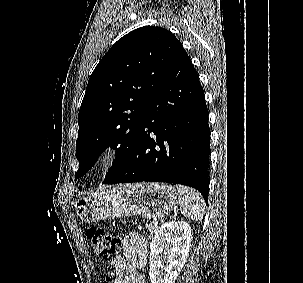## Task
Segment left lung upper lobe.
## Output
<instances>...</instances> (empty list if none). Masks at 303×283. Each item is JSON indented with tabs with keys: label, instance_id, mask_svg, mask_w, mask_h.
Masks as SVG:
<instances>
[{
	"label": "left lung upper lobe",
	"instance_id": "5c2ea615",
	"mask_svg": "<svg viewBox=\"0 0 303 283\" xmlns=\"http://www.w3.org/2000/svg\"><path fill=\"white\" fill-rule=\"evenodd\" d=\"M182 50L170 31L144 26L123 36L104 55L89 78L78 114L76 179L109 146L118 148L103 183L118 173L135 145L152 97Z\"/></svg>",
	"mask_w": 303,
	"mask_h": 283
}]
</instances>
